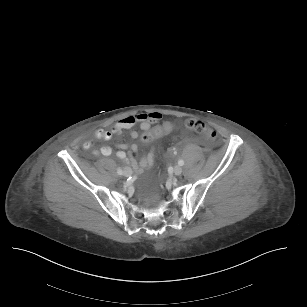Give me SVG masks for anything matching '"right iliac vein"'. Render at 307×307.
<instances>
[{
    "mask_svg": "<svg viewBox=\"0 0 307 307\" xmlns=\"http://www.w3.org/2000/svg\"><path fill=\"white\" fill-rule=\"evenodd\" d=\"M131 175H132V169L129 168V167L125 168V170H124V176L130 177Z\"/></svg>",
    "mask_w": 307,
    "mask_h": 307,
    "instance_id": "obj_1",
    "label": "right iliac vein"
}]
</instances>
